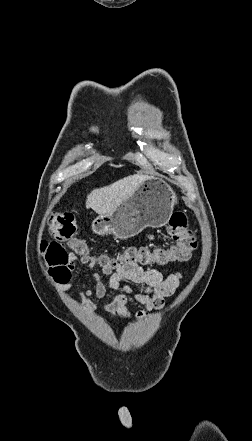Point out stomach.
<instances>
[{
	"instance_id": "1",
	"label": "stomach",
	"mask_w": 252,
	"mask_h": 441,
	"mask_svg": "<svg viewBox=\"0 0 252 441\" xmlns=\"http://www.w3.org/2000/svg\"><path fill=\"white\" fill-rule=\"evenodd\" d=\"M177 197L164 180L150 178L124 200L112 213L97 216L92 224L99 235L112 234L128 239L146 227L160 228L167 224Z\"/></svg>"
}]
</instances>
